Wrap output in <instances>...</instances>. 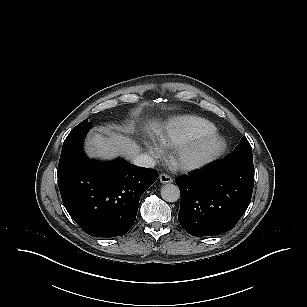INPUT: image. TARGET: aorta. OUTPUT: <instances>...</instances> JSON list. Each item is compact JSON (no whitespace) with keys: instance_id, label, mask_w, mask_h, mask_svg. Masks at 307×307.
<instances>
[{"instance_id":"obj_1","label":"aorta","mask_w":307,"mask_h":307,"mask_svg":"<svg viewBox=\"0 0 307 307\" xmlns=\"http://www.w3.org/2000/svg\"><path fill=\"white\" fill-rule=\"evenodd\" d=\"M161 197L166 202H176L180 198V190L174 184H165L161 188Z\"/></svg>"}]
</instances>
